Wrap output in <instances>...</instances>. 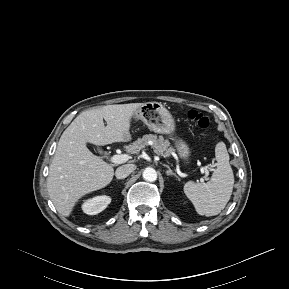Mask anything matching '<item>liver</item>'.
I'll list each match as a JSON object with an SVG mask.
<instances>
[{"label": "liver", "mask_w": 289, "mask_h": 289, "mask_svg": "<svg viewBox=\"0 0 289 289\" xmlns=\"http://www.w3.org/2000/svg\"><path fill=\"white\" fill-rule=\"evenodd\" d=\"M143 104L107 105L82 112L63 132L47 178L49 197L61 215L68 217L81 197L104 188L114 176L113 166L94 155L86 144L130 141L131 119Z\"/></svg>", "instance_id": "6515ba94"}]
</instances>
